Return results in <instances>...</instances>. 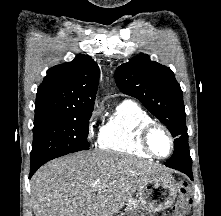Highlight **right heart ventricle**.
<instances>
[{
  "label": "right heart ventricle",
  "mask_w": 221,
  "mask_h": 216,
  "mask_svg": "<svg viewBox=\"0 0 221 216\" xmlns=\"http://www.w3.org/2000/svg\"><path fill=\"white\" fill-rule=\"evenodd\" d=\"M151 115L132 100L121 102L101 127L98 144L102 150L149 158L139 145L140 129L153 122Z\"/></svg>",
  "instance_id": "obj_1"
}]
</instances>
